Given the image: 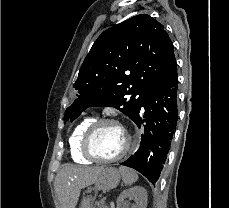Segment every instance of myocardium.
I'll use <instances>...</instances> for the list:
<instances>
[{"instance_id":"1","label":"myocardium","mask_w":229,"mask_h":208,"mask_svg":"<svg viewBox=\"0 0 229 208\" xmlns=\"http://www.w3.org/2000/svg\"><path fill=\"white\" fill-rule=\"evenodd\" d=\"M106 124H113L120 127L125 131V133L128 136L127 146L121 153L118 154L117 157H96V152H91V147H92L91 139H95V135L97 131ZM134 146H135V141L133 137L119 121L115 119L101 118V119L94 120L86 129L83 137V143L81 144L82 148H80V153H84L83 154L84 158H92L93 160L98 162L109 163V162H116L118 160L125 158L133 150Z\"/></svg>"}]
</instances>
